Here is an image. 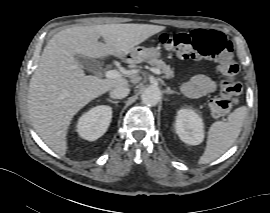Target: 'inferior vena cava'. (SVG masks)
Returning <instances> with one entry per match:
<instances>
[{
	"label": "inferior vena cava",
	"instance_id": "obj_1",
	"mask_svg": "<svg viewBox=\"0 0 270 213\" xmlns=\"http://www.w3.org/2000/svg\"><path fill=\"white\" fill-rule=\"evenodd\" d=\"M129 91L127 86H118L110 91V97L113 99H122L129 94Z\"/></svg>",
	"mask_w": 270,
	"mask_h": 213
}]
</instances>
